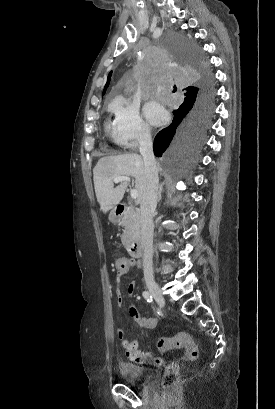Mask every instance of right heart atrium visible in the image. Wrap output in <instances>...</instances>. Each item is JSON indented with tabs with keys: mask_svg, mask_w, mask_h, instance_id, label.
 Listing matches in <instances>:
<instances>
[{
	"mask_svg": "<svg viewBox=\"0 0 275 409\" xmlns=\"http://www.w3.org/2000/svg\"><path fill=\"white\" fill-rule=\"evenodd\" d=\"M113 111L115 127L125 152H135L138 146L151 139L152 127L137 107L120 100Z\"/></svg>",
	"mask_w": 275,
	"mask_h": 409,
	"instance_id": "obj_1",
	"label": "right heart atrium"
}]
</instances>
